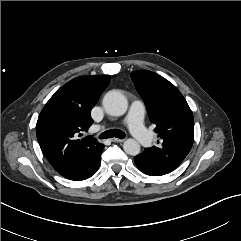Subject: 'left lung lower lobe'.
<instances>
[{
    "label": "left lung lower lobe",
    "instance_id": "obj_1",
    "mask_svg": "<svg viewBox=\"0 0 241 241\" xmlns=\"http://www.w3.org/2000/svg\"><path fill=\"white\" fill-rule=\"evenodd\" d=\"M135 164L138 169L146 175L160 176L172 172L174 169L162 165L146 164L140 160L138 156L135 158Z\"/></svg>",
    "mask_w": 241,
    "mask_h": 241
}]
</instances>
